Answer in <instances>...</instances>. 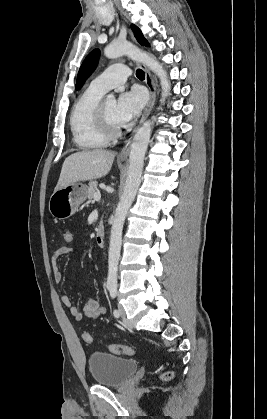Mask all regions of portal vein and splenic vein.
I'll return each mask as SVG.
<instances>
[{
    "label": "portal vein and splenic vein",
    "instance_id": "portal-vein-and-splenic-vein-1",
    "mask_svg": "<svg viewBox=\"0 0 267 419\" xmlns=\"http://www.w3.org/2000/svg\"><path fill=\"white\" fill-rule=\"evenodd\" d=\"M100 198H101V194L99 192L94 194V200L98 201V200H100Z\"/></svg>",
    "mask_w": 267,
    "mask_h": 419
}]
</instances>
